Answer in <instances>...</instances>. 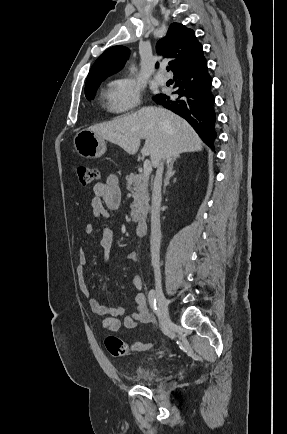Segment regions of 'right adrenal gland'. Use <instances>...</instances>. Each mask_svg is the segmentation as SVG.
I'll return each instance as SVG.
<instances>
[{
	"label": "right adrenal gland",
	"mask_w": 287,
	"mask_h": 434,
	"mask_svg": "<svg viewBox=\"0 0 287 434\" xmlns=\"http://www.w3.org/2000/svg\"><path fill=\"white\" fill-rule=\"evenodd\" d=\"M176 157L172 158L171 160L167 161V166H168V170L167 173L165 175V180H164V189L167 187V185L169 184V180L170 178L175 174V170H173V165L176 161Z\"/></svg>",
	"instance_id": "right-adrenal-gland-1"
}]
</instances>
